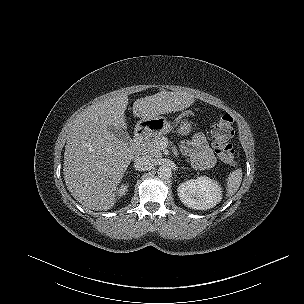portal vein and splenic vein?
<instances>
[{
  "label": "portal vein and splenic vein",
  "mask_w": 304,
  "mask_h": 304,
  "mask_svg": "<svg viewBox=\"0 0 304 304\" xmlns=\"http://www.w3.org/2000/svg\"><path fill=\"white\" fill-rule=\"evenodd\" d=\"M167 147V144L164 141H160L159 143H157L156 147H155V151L158 152L162 149H165ZM173 153L175 156L178 155L176 150H173Z\"/></svg>",
  "instance_id": "obj_1"
}]
</instances>
